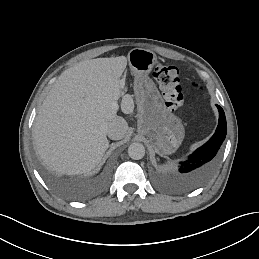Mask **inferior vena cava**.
Segmentation results:
<instances>
[{
    "label": "inferior vena cava",
    "mask_w": 259,
    "mask_h": 259,
    "mask_svg": "<svg viewBox=\"0 0 259 259\" xmlns=\"http://www.w3.org/2000/svg\"><path fill=\"white\" fill-rule=\"evenodd\" d=\"M127 122L123 118H117L107 124L106 133L112 140L123 139L127 133Z\"/></svg>",
    "instance_id": "inferior-vena-cava-1"
}]
</instances>
